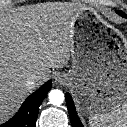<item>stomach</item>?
Instances as JSON below:
<instances>
[{"label":"stomach","mask_w":127,"mask_h":127,"mask_svg":"<svg viewBox=\"0 0 127 127\" xmlns=\"http://www.w3.org/2000/svg\"><path fill=\"white\" fill-rule=\"evenodd\" d=\"M85 18L82 9L78 22ZM66 84L79 96L87 115L113 110L127 99V54L111 49L99 34L80 25Z\"/></svg>","instance_id":"obj_1"}]
</instances>
